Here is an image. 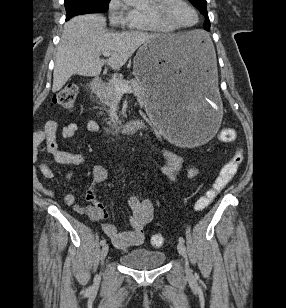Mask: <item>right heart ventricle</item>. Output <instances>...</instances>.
<instances>
[{
    "label": "right heart ventricle",
    "instance_id": "right-heart-ventricle-1",
    "mask_svg": "<svg viewBox=\"0 0 286 308\" xmlns=\"http://www.w3.org/2000/svg\"><path fill=\"white\" fill-rule=\"evenodd\" d=\"M142 33H172L177 29L154 19L148 10L134 9L133 21L129 27Z\"/></svg>",
    "mask_w": 286,
    "mask_h": 308
}]
</instances>
